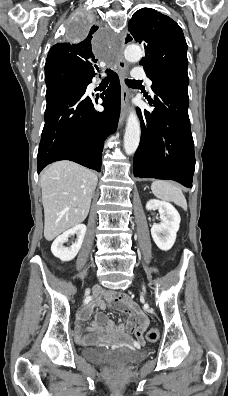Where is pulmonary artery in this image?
<instances>
[{
  "label": "pulmonary artery",
  "instance_id": "1",
  "mask_svg": "<svg viewBox=\"0 0 228 396\" xmlns=\"http://www.w3.org/2000/svg\"><path fill=\"white\" fill-rule=\"evenodd\" d=\"M132 76L135 79L145 80L148 86L152 84V81L146 76L145 71L141 67L134 68L132 71Z\"/></svg>",
  "mask_w": 228,
  "mask_h": 396
}]
</instances>
